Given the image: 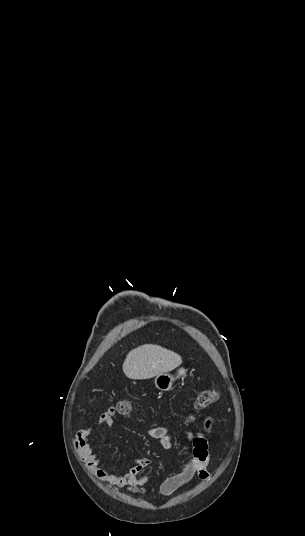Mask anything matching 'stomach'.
<instances>
[{"mask_svg": "<svg viewBox=\"0 0 305 536\" xmlns=\"http://www.w3.org/2000/svg\"><path fill=\"white\" fill-rule=\"evenodd\" d=\"M186 376L187 370H185V368H179L175 378L174 376H171V374H168V372H164V374H158V376H155L154 384L158 390H161V392H168V390H171L173 382H175L177 378H186Z\"/></svg>", "mask_w": 305, "mask_h": 536, "instance_id": "1", "label": "stomach"}]
</instances>
